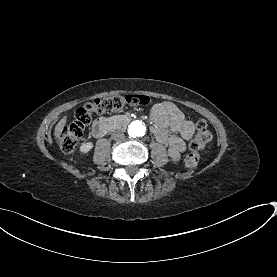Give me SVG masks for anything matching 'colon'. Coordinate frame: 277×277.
Listing matches in <instances>:
<instances>
[{"label":"colon","instance_id":"colon-1","mask_svg":"<svg viewBox=\"0 0 277 277\" xmlns=\"http://www.w3.org/2000/svg\"><path fill=\"white\" fill-rule=\"evenodd\" d=\"M151 103L152 98L150 96L141 94L111 95L96 98L79 108L74 115V119L63 125L59 133L61 146L68 151L75 145L94 115L115 113L124 106H148ZM212 140L213 135L206 120L197 118L195 120V134L189 142V148L193 152L184 156V164L187 168L194 169L199 165L198 152L204 149Z\"/></svg>","mask_w":277,"mask_h":277}]
</instances>
